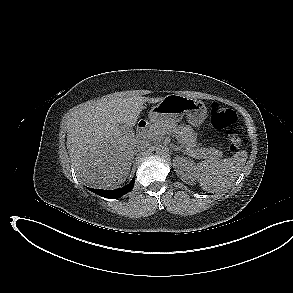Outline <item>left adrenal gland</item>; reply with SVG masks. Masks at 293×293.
Wrapping results in <instances>:
<instances>
[{
	"mask_svg": "<svg viewBox=\"0 0 293 293\" xmlns=\"http://www.w3.org/2000/svg\"><path fill=\"white\" fill-rule=\"evenodd\" d=\"M173 149H174V151L180 150V148L177 146H174Z\"/></svg>",
	"mask_w": 293,
	"mask_h": 293,
	"instance_id": "a2214340",
	"label": "left adrenal gland"
}]
</instances>
